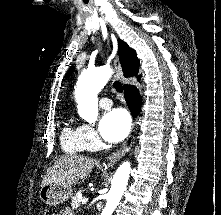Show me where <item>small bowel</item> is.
<instances>
[{"label": "small bowel", "mask_w": 221, "mask_h": 215, "mask_svg": "<svg viewBox=\"0 0 221 215\" xmlns=\"http://www.w3.org/2000/svg\"><path fill=\"white\" fill-rule=\"evenodd\" d=\"M58 215H73V212L70 208H64L62 211H61V214H58Z\"/></svg>", "instance_id": "1"}]
</instances>
